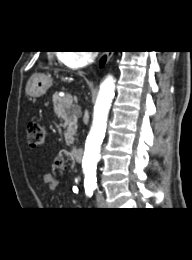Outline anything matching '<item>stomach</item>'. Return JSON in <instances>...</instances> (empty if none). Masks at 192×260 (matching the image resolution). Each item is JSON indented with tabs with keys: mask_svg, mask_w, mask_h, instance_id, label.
<instances>
[{
	"mask_svg": "<svg viewBox=\"0 0 192 260\" xmlns=\"http://www.w3.org/2000/svg\"><path fill=\"white\" fill-rule=\"evenodd\" d=\"M52 86V79L45 75H34L27 85V94L32 97H40Z\"/></svg>",
	"mask_w": 192,
	"mask_h": 260,
	"instance_id": "obj_1",
	"label": "stomach"
}]
</instances>
